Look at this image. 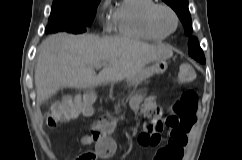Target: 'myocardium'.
Returning a JSON list of instances; mask_svg holds the SVG:
<instances>
[{"label": "myocardium", "mask_w": 242, "mask_h": 160, "mask_svg": "<svg viewBox=\"0 0 242 160\" xmlns=\"http://www.w3.org/2000/svg\"><path fill=\"white\" fill-rule=\"evenodd\" d=\"M161 11H166L168 12L174 21V25L172 29H166L164 28L160 22H159V14ZM147 21L149 26L154 29L155 31L162 33L164 35H170L176 31L179 25V17L176 13V11L169 5L159 3L155 4L148 12L147 14Z\"/></svg>", "instance_id": "f54148a6"}]
</instances>
